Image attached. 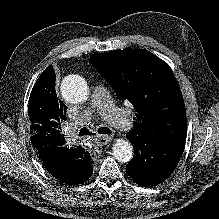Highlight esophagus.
<instances>
[{"mask_svg":"<svg viewBox=\"0 0 219 219\" xmlns=\"http://www.w3.org/2000/svg\"><path fill=\"white\" fill-rule=\"evenodd\" d=\"M113 137L111 135H103V136H99L96 139V143L98 146H104L109 144L112 141Z\"/></svg>","mask_w":219,"mask_h":219,"instance_id":"34e87169","label":"esophagus"}]
</instances>
